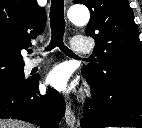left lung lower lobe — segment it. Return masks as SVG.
I'll list each match as a JSON object with an SVG mask.
<instances>
[{
	"instance_id": "0a47b994",
	"label": "left lung lower lobe",
	"mask_w": 142,
	"mask_h": 128,
	"mask_svg": "<svg viewBox=\"0 0 142 128\" xmlns=\"http://www.w3.org/2000/svg\"><path fill=\"white\" fill-rule=\"evenodd\" d=\"M83 76L92 88L93 97L84 105L82 128H142V87L114 83L101 88L85 73Z\"/></svg>"
}]
</instances>
